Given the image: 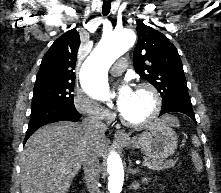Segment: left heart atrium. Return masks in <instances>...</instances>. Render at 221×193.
Listing matches in <instances>:
<instances>
[{
	"mask_svg": "<svg viewBox=\"0 0 221 193\" xmlns=\"http://www.w3.org/2000/svg\"><path fill=\"white\" fill-rule=\"evenodd\" d=\"M134 96V91L129 86L128 83H123L117 90V96H116V107L120 112H124L130 102L132 101V98Z\"/></svg>",
	"mask_w": 221,
	"mask_h": 193,
	"instance_id": "39dd6f15",
	"label": "left heart atrium"
}]
</instances>
